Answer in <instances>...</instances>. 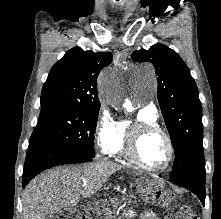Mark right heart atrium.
<instances>
[{"mask_svg": "<svg viewBox=\"0 0 221 219\" xmlns=\"http://www.w3.org/2000/svg\"><path fill=\"white\" fill-rule=\"evenodd\" d=\"M117 121L107 108H102L95 128L96 145L102 154H108L117 128Z\"/></svg>", "mask_w": 221, "mask_h": 219, "instance_id": "right-heart-atrium-1", "label": "right heart atrium"}]
</instances>
